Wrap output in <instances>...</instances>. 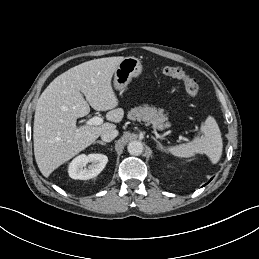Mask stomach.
<instances>
[{
	"label": "stomach",
	"instance_id": "stomach-1",
	"mask_svg": "<svg viewBox=\"0 0 259 259\" xmlns=\"http://www.w3.org/2000/svg\"><path fill=\"white\" fill-rule=\"evenodd\" d=\"M141 72L142 64L138 58L133 56L124 58L114 72L115 89L123 91L132 78L139 76Z\"/></svg>",
	"mask_w": 259,
	"mask_h": 259
}]
</instances>
